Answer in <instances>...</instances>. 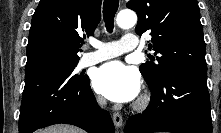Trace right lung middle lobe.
Masks as SVG:
<instances>
[{
  "mask_svg": "<svg viewBox=\"0 0 221 133\" xmlns=\"http://www.w3.org/2000/svg\"><path fill=\"white\" fill-rule=\"evenodd\" d=\"M78 62L74 63H68V64H55V65H50L44 69H56L59 72L63 73L66 75L69 79L73 81H80L84 79L86 76L83 75H74L72 72L74 71L76 65Z\"/></svg>",
  "mask_w": 221,
  "mask_h": 133,
  "instance_id": "dd1d6c3e",
  "label": "right lung middle lobe"
}]
</instances>
